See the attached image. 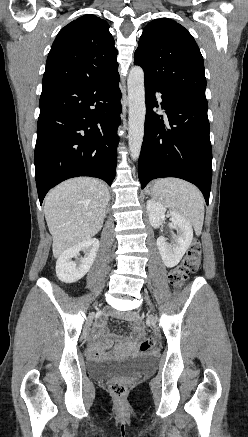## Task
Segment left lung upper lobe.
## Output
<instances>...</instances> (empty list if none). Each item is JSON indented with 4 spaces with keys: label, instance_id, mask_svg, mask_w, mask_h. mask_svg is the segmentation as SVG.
I'll list each match as a JSON object with an SVG mask.
<instances>
[{
    "label": "left lung upper lobe",
    "instance_id": "left-lung-upper-lobe-1",
    "mask_svg": "<svg viewBox=\"0 0 248 437\" xmlns=\"http://www.w3.org/2000/svg\"><path fill=\"white\" fill-rule=\"evenodd\" d=\"M145 80L167 93L206 99L204 62L192 35L170 19L146 25L134 54Z\"/></svg>",
    "mask_w": 248,
    "mask_h": 437
}]
</instances>
